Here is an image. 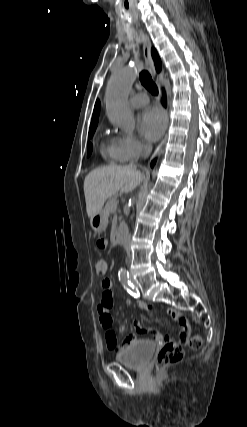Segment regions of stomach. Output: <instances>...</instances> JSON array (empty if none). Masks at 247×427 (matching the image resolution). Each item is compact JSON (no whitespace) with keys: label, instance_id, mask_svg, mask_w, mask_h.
<instances>
[{"label":"stomach","instance_id":"stomach-1","mask_svg":"<svg viewBox=\"0 0 247 427\" xmlns=\"http://www.w3.org/2000/svg\"><path fill=\"white\" fill-rule=\"evenodd\" d=\"M107 223L108 217L103 210L93 216L90 220L91 227L95 232H103L107 227Z\"/></svg>","mask_w":247,"mask_h":427}]
</instances>
